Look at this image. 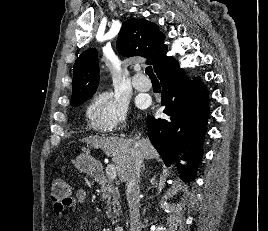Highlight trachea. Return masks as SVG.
<instances>
[{"instance_id":"trachea-1","label":"trachea","mask_w":268,"mask_h":231,"mask_svg":"<svg viewBox=\"0 0 268 231\" xmlns=\"http://www.w3.org/2000/svg\"><path fill=\"white\" fill-rule=\"evenodd\" d=\"M146 74L150 77V78H156L155 74L153 73V69L151 66H148L146 68Z\"/></svg>"}]
</instances>
